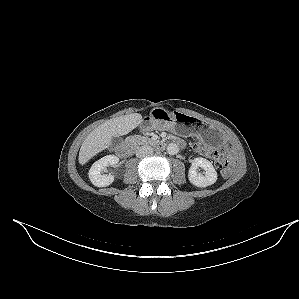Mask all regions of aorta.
I'll list each match as a JSON object with an SVG mask.
<instances>
[{
    "instance_id": "obj_1",
    "label": "aorta",
    "mask_w": 299,
    "mask_h": 299,
    "mask_svg": "<svg viewBox=\"0 0 299 299\" xmlns=\"http://www.w3.org/2000/svg\"><path fill=\"white\" fill-rule=\"evenodd\" d=\"M167 152L170 155H176L179 152V147L176 144L171 143L167 146Z\"/></svg>"
}]
</instances>
